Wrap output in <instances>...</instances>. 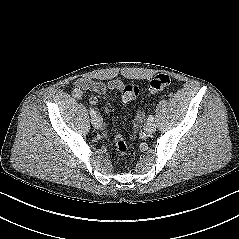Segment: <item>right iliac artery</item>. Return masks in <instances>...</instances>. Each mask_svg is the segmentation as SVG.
Returning <instances> with one entry per match:
<instances>
[{"label": "right iliac artery", "instance_id": "right-iliac-artery-1", "mask_svg": "<svg viewBox=\"0 0 239 239\" xmlns=\"http://www.w3.org/2000/svg\"><path fill=\"white\" fill-rule=\"evenodd\" d=\"M90 115L91 117H95L96 116V112L94 111V109L90 108Z\"/></svg>", "mask_w": 239, "mask_h": 239}]
</instances>
